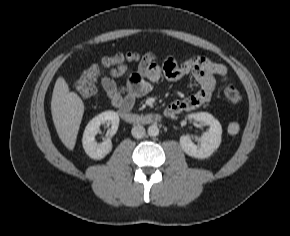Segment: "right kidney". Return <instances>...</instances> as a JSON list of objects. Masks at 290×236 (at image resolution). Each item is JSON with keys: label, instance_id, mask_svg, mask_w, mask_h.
<instances>
[{"label": "right kidney", "instance_id": "ca27d5eb", "mask_svg": "<svg viewBox=\"0 0 290 236\" xmlns=\"http://www.w3.org/2000/svg\"><path fill=\"white\" fill-rule=\"evenodd\" d=\"M103 123L111 124L110 134L114 135L119 126L118 114L114 111H105L95 116L87 124L83 133L82 144L86 154L95 160L104 158L112 150L110 138L105 139L102 143H98L95 139L100 125Z\"/></svg>", "mask_w": 290, "mask_h": 236}]
</instances>
